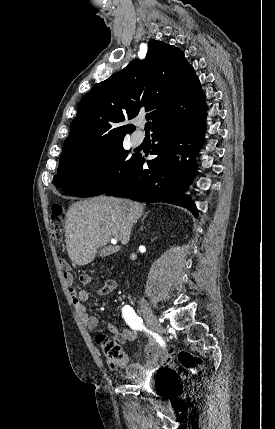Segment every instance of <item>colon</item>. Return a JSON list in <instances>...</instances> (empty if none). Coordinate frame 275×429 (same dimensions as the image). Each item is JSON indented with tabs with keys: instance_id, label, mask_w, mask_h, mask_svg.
<instances>
[{
	"instance_id": "colon-1",
	"label": "colon",
	"mask_w": 275,
	"mask_h": 429,
	"mask_svg": "<svg viewBox=\"0 0 275 429\" xmlns=\"http://www.w3.org/2000/svg\"><path fill=\"white\" fill-rule=\"evenodd\" d=\"M50 226L52 238L56 242H61L64 232V209L59 203L52 205ZM60 263L65 272L69 270L66 261L61 260ZM97 342L101 345L112 368L123 367L126 365L127 358L117 342L108 339L104 335H99L97 337ZM175 362H179L184 368L192 371L201 370L203 367V362L198 356L187 351H180L178 354H175L172 350L168 349L163 354L162 365L164 367H170Z\"/></svg>"
}]
</instances>
